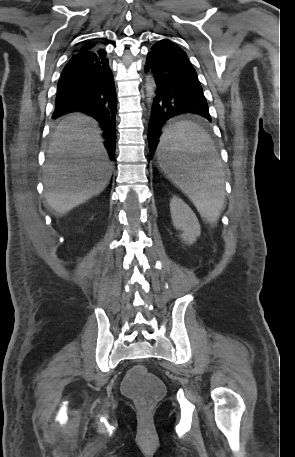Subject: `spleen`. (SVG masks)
<instances>
[{"instance_id":"3e777b00","label":"spleen","mask_w":295,"mask_h":457,"mask_svg":"<svg viewBox=\"0 0 295 457\" xmlns=\"http://www.w3.org/2000/svg\"><path fill=\"white\" fill-rule=\"evenodd\" d=\"M199 152L212 155L210 137L198 124L178 121L163 131L157 156L162 169L191 199L201 217L212 223L224 203V177L219 162L196 158Z\"/></svg>"}]
</instances>
